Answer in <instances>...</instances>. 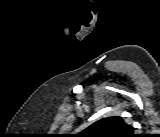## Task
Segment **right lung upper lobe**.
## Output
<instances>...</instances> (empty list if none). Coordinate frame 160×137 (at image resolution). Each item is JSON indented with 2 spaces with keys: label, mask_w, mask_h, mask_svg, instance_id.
<instances>
[{
  "label": "right lung upper lobe",
  "mask_w": 160,
  "mask_h": 137,
  "mask_svg": "<svg viewBox=\"0 0 160 137\" xmlns=\"http://www.w3.org/2000/svg\"><path fill=\"white\" fill-rule=\"evenodd\" d=\"M133 127L126 124L121 117L103 118L80 132L83 137H131Z\"/></svg>",
  "instance_id": "cb5924a9"
}]
</instances>
